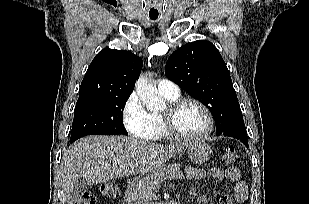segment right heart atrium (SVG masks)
Masks as SVG:
<instances>
[{"label":"right heart atrium","instance_id":"d8ad5b80","mask_svg":"<svg viewBox=\"0 0 309 204\" xmlns=\"http://www.w3.org/2000/svg\"><path fill=\"white\" fill-rule=\"evenodd\" d=\"M123 124L128 133L137 138L149 139L152 134V126L148 113L142 105L138 95L131 93L125 101L122 109Z\"/></svg>","mask_w":309,"mask_h":204}]
</instances>
